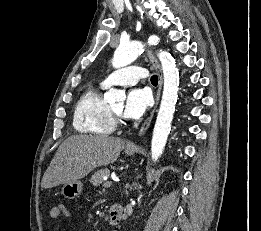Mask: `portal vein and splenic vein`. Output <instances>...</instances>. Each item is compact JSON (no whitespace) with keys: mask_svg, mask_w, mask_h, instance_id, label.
Instances as JSON below:
<instances>
[{"mask_svg":"<svg viewBox=\"0 0 261 231\" xmlns=\"http://www.w3.org/2000/svg\"><path fill=\"white\" fill-rule=\"evenodd\" d=\"M105 180H106V181H105V183H104L103 186H104L105 188H109V187H111L112 184H113V182H112V181H108L107 178H105Z\"/></svg>","mask_w":261,"mask_h":231,"instance_id":"18ae733b","label":"portal vein and splenic vein"}]
</instances>
